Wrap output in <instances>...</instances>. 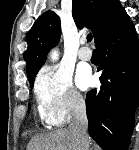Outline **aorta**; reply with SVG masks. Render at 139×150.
Wrapping results in <instances>:
<instances>
[{"label": "aorta", "instance_id": "aorta-1", "mask_svg": "<svg viewBox=\"0 0 139 150\" xmlns=\"http://www.w3.org/2000/svg\"><path fill=\"white\" fill-rule=\"evenodd\" d=\"M57 56H58L57 52H56V51H53V52H52V58H53V59H56Z\"/></svg>", "mask_w": 139, "mask_h": 150}]
</instances>
